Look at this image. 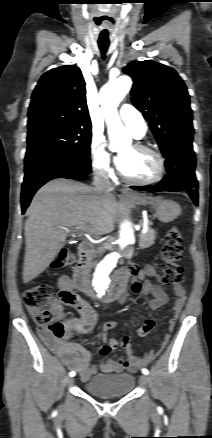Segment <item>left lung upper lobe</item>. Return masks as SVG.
Wrapping results in <instances>:
<instances>
[{"mask_svg":"<svg viewBox=\"0 0 212 438\" xmlns=\"http://www.w3.org/2000/svg\"><path fill=\"white\" fill-rule=\"evenodd\" d=\"M123 71L133 78L132 103L149 122L163 156L192 144L189 94L177 72L151 60L132 62Z\"/></svg>","mask_w":212,"mask_h":438,"instance_id":"1","label":"left lung upper lobe"}]
</instances>
